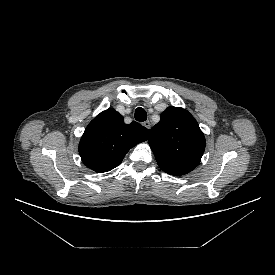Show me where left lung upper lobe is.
<instances>
[{
	"label": "left lung upper lobe",
	"instance_id": "5c2ea615",
	"mask_svg": "<svg viewBox=\"0 0 275 275\" xmlns=\"http://www.w3.org/2000/svg\"><path fill=\"white\" fill-rule=\"evenodd\" d=\"M148 143L159 167L174 176L194 170L205 150V137L195 118L187 110L173 106L161 114Z\"/></svg>",
	"mask_w": 275,
	"mask_h": 275
}]
</instances>
